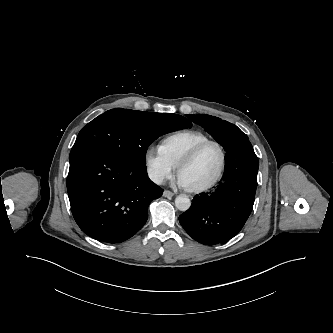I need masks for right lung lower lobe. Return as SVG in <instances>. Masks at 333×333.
<instances>
[{
	"instance_id": "98d812e1",
	"label": "right lung lower lobe",
	"mask_w": 333,
	"mask_h": 333,
	"mask_svg": "<svg viewBox=\"0 0 333 333\" xmlns=\"http://www.w3.org/2000/svg\"><path fill=\"white\" fill-rule=\"evenodd\" d=\"M69 161L67 190L73 217L96 240L120 243L132 237L146 223L150 202L163 193L148 178L146 167L101 147H73Z\"/></svg>"
}]
</instances>
